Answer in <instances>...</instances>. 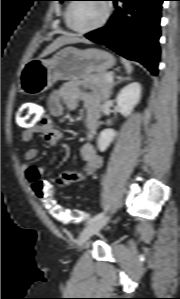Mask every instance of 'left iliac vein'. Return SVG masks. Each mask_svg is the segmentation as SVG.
<instances>
[{"label": "left iliac vein", "mask_w": 180, "mask_h": 299, "mask_svg": "<svg viewBox=\"0 0 180 299\" xmlns=\"http://www.w3.org/2000/svg\"><path fill=\"white\" fill-rule=\"evenodd\" d=\"M109 221L108 216H103L102 218L88 224L80 233L77 241V245L81 247L91 236L98 233Z\"/></svg>", "instance_id": "left-iliac-vein-1"}]
</instances>
